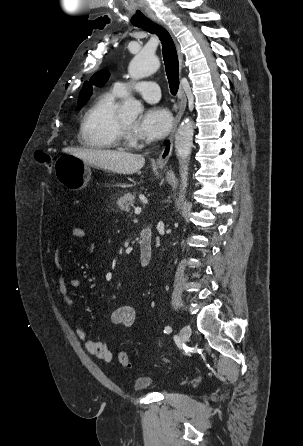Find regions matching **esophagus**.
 I'll list each match as a JSON object with an SVG mask.
<instances>
[{"label": "esophagus", "mask_w": 303, "mask_h": 446, "mask_svg": "<svg viewBox=\"0 0 303 446\" xmlns=\"http://www.w3.org/2000/svg\"><path fill=\"white\" fill-rule=\"evenodd\" d=\"M153 21L156 24L163 26L170 32L169 28L159 18L154 17ZM174 41H175L176 48H177L180 69H182L183 68V54H182V52L180 50V46L177 43L175 38H174ZM178 97H179V110L175 116L172 130H171L170 135L165 143V146H164L162 152L160 153L159 157L156 160V164L160 167H163L166 165V163L168 162V160L172 154L175 132H176L177 126L184 114V111L186 109L187 98H186V95H185L182 87L179 88Z\"/></svg>", "instance_id": "1"}]
</instances>
